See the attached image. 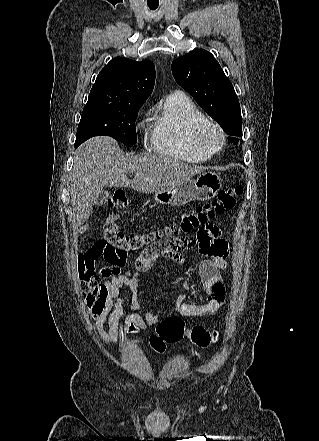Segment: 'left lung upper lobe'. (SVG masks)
Masks as SVG:
<instances>
[{
  "instance_id": "1",
  "label": "left lung upper lobe",
  "mask_w": 319,
  "mask_h": 441,
  "mask_svg": "<svg viewBox=\"0 0 319 441\" xmlns=\"http://www.w3.org/2000/svg\"><path fill=\"white\" fill-rule=\"evenodd\" d=\"M171 67L176 82L237 143L242 136L239 100L214 56L203 49L194 50L174 60Z\"/></svg>"
}]
</instances>
